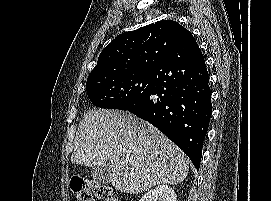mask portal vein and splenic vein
Masks as SVG:
<instances>
[{
  "mask_svg": "<svg viewBox=\"0 0 271 201\" xmlns=\"http://www.w3.org/2000/svg\"><path fill=\"white\" fill-rule=\"evenodd\" d=\"M125 161L128 162V163H133V161L131 159H129V158H127Z\"/></svg>",
  "mask_w": 271,
  "mask_h": 201,
  "instance_id": "1",
  "label": "portal vein and splenic vein"
}]
</instances>
